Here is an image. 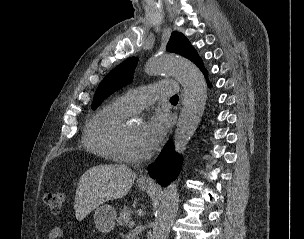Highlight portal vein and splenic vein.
Returning <instances> with one entry per match:
<instances>
[{"label": "portal vein and splenic vein", "mask_w": 304, "mask_h": 239, "mask_svg": "<svg viewBox=\"0 0 304 239\" xmlns=\"http://www.w3.org/2000/svg\"><path fill=\"white\" fill-rule=\"evenodd\" d=\"M135 225V223L133 221L129 222V226L133 227Z\"/></svg>", "instance_id": "obj_1"}]
</instances>
